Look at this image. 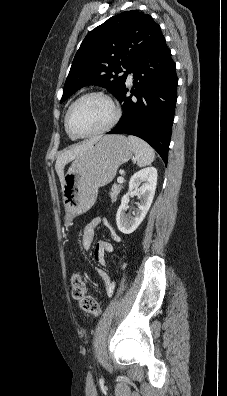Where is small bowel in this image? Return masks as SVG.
Masks as SVG:
<instances>
[{
	"instance_id": "small-bowel-1",
	"label": "small bowel",
	"mask_w": 227,
	"mask_h": 396,
	"mask_svg": "<svg viewBox=\"0 0 227 396\" xmlns=\"http://www.w3.org/2000/svg\"><path fill=\"white\" fill-rule=\"evenodd\" d=\"M99 224H103L108 228L110 232V236L113 241L119 242L121 240L120 235L112 227L109 221L106 218L99 216L88 222L82 231L81 242L84 249L88 250L91 248L94 241V230ZM112 250H113V246L110 242L107 241L98 242L93 252V257L95 262H97L100 265H104L105 254L111 252ZM95 273L98 276V278L102 281L103 285L105 286L107 295H111L114 291L115 285L114 282L110 279L109 275L101 269H96Z\"/></svg>"
}]
</instances>
